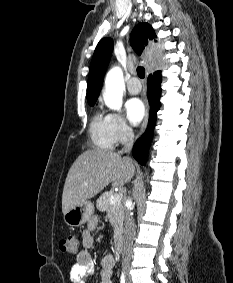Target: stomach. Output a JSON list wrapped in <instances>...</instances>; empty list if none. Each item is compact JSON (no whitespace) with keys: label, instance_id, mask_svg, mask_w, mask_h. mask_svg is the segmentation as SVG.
<instances>
[{"label":"stomach","instance_id":"0dacf381","mask_svg":"<svg viewBox=\"0 0 233 283\" xmlns=\"http://www.w3.org/2000/svg\"><path fill=\"white\" fill-rule=\"evenodd\" d=\"M94 213V205L90 201H85L64 214V221L71 227H78L86 223Z\"/></svg>","mask_w":233,"mask_h":283}]
</instances>
